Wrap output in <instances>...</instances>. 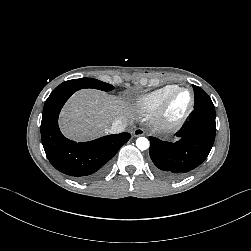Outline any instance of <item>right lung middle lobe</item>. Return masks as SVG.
I'll use <instances>...</instances> for the list:
<instances>
[{"label": "right lung middle lobe", "instance_id": "right-lung-middle-lobe-1", "mask_svg": "<svg viewBox=\"0 0 251 251\" xmlns=\"http://www.w3.org/2000/svg\"><path fill=\"white\" fill-rule=\"evenodd\" d=\"M84 88H94L99 89L103 91H110L113 89V86L108 83H104L102 81H99L97 79L92 78H80V79H73L68 80L60 84L58 87H56L53 91L58 90H80Z\"/></svg>", "mask_w": 251, "mask_h": 251}]
</instances>
